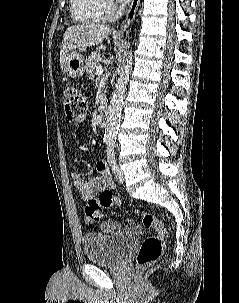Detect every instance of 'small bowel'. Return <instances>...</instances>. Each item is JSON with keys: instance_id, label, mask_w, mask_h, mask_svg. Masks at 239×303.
<instances>
[{"instance_id": "1", "label": "small bowel", "mask_w": 239, "mask_h": 303, "mask_svg": "<svg viewBox=\"0 0 239 303\" xmlns=\"http://www.w3.org/2000/svg\"><path fill=\"white\" fill-rule=\"evenodd\" d=\"M95 172L97 173V176L88 179L83 178L80 171L74 170L72 172L75 187L80 191L84 201L91 199L98 191L114 189V182L109 169L104 162H98L95 165ZM101 228L106 233L119 234L122 231L134 230L136 228V224L130 219L126 220L123 225L109 220L103 222Z\"/></svg>"}]
</instances>
